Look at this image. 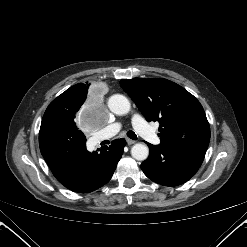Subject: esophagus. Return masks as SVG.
Segmentation results:
<instances>
[{
	"label": "esophagus",
	"mask_w": 247,
	"mask_h": 247,
	"mask_svg": "<svg viewBox=\"0 0 247 247\" xmlns=\"http://www.w3.org/2000/svg\"><path fill=\"white\" fill-rule=\"evenodd\" d=\"M126 142H127V144H128V145H132V144H134V143H135V141H134V140L129 139V138H127V139H126Z\"/></svg>",
	"instance_id": "34e87169"
}]
</instances>
